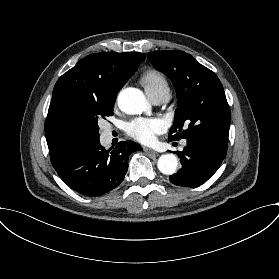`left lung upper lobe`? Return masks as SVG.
Instances as JSON below:
<instances>
[{
	"label": "left lung upper lobe",
	"instance_id": "5c2ea615",
	"mask_svg": "<svg viewBox=\"0 0 279 279\" xmlns=\"http://www.w3.org/2000/svg\"><path fill=\"white\" fill-rule=\"evenodd\" d=\"M148 59L174 84L178 98L170 140L209 137L228 142L231 112L217 75L183 51H154Z\"/></svg>",
	"mask_w": 279,
	"mask_h": 279
}]
</instances>
